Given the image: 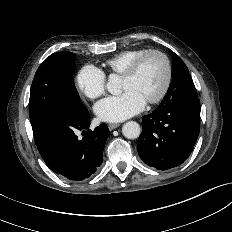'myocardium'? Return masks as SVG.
Returning <instances> with one entry per match:
<instances>
[{"label":"myocardium","mask_w":232,"mask_h":232,"mask_svg":"<svg viewBox=\"0 0 232 232\" xmlns=\"http://www.w3.org/2000/svg\"><path fill=\"white\" fill-rule=\"evenodd\" d=\"M159 56L162 58L164 65H165V80L162 89L160 92L153 98L146 101L148 104H156L159 103L164 99L166 94L168 93L171 83H172V77H173V71H172V65L169 57L162 51L152 49L144 52L140 56H138L125 70V72L122 74L123 78H132L136 75L138 70L140 69L143 62L150 56Z\"/></svg>","instance_id":"f54148a6"}]
</instances>
